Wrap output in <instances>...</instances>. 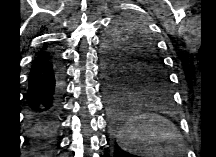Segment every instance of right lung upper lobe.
Returning a JSON list of instances; mask_svg holds the SVG:
<instances>
[{
  "instance_id": "right-lung-upper-lobe-1",
  "label": "right lung upper lobe",
  "mask_w": 216,
  "mask_h": 157,
  "mask_svg": "<svg viewBox=\"0 0 216 157\" xmlns=\"http://www.w3.org/2000/svg\"><path fill=\"white\" fill-rule=\"evenodd\" d=\"M46 47H47L46 45H45V46H43L41 50H44Z\"/></svg>"
}]
</instances>
